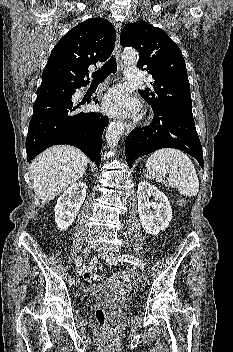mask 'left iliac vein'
Instances as JSON below:
<instances>
[{"label":"left iliac vein","mask_w":233,"mask_h":352,"mask_svg":"<svg viewBox=\"0 0 233 352\" xmlns=\"http://www.w3.org/2000/svg\"><path fill=\"white\" fill-rule=\"evenodd\" d=\"M98 256L107 261L110 258L116 257L117 255L114 251L104 250V251H99ZM139 280L140 282H145L147 280V275L144 272H142L139 276Z\"/></svg>","instance_id":"obj_1"}]
</instances>
